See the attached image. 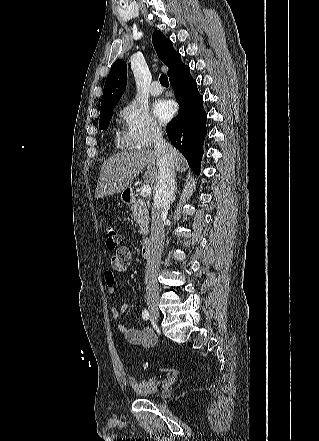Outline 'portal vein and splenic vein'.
Instances as JSON below:
<instances>
[{
	"label": "portal vein and splenic vein",
	"mask_w": 319,
	"mask_h": 441,
	"mask_svg": "<svg viewBox=\"0 0 319 441\" xmlns=\"http://www.w3.org/2000/svg\"><path fill=\"white\" fill-rule=\"evenodd\" d=\"M150 193H151L150 185L146 184L141 187V196L147 197L150 195Z\"/></svg>",
	"instance_id": "portal-vein-and-splenic-vein-1"
}]
</instances>
